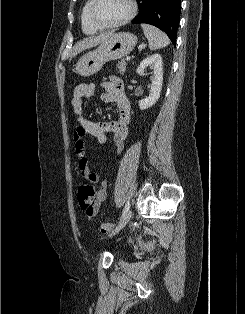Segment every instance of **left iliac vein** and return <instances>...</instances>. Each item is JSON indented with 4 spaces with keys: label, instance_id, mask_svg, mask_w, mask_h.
Masks as SVG:
<instances>
[{
    "label": "left iliac vein",
    "instance_id": "4c4485c4",
    "mask_svg": "<svg viewBox=\"0 0 245 314\" xmlns=\"http://www.w3.org/2000/svg\"><path fill=\"white\" fill-rule=\"evenodd\" d=\"M131 217H132V211L129 209V210L124 214L123 218L120 220V222H119V224H118L116 230L113 231V232L109 235V237H113V236H115L117 233H119V231L122 230V229L126 226V224L130 221Z\"/></svg>",
    "mask_w": 245,
    "mask_h": 314
}]
</instances>
